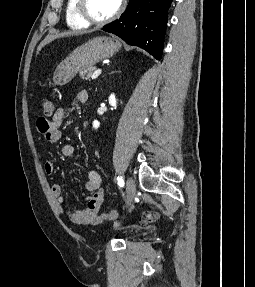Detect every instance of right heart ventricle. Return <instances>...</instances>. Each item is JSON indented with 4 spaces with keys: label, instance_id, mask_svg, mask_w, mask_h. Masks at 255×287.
I'll list each match as a JSON object with an SVG mask.
<instances>
[{
    "label": "right heart ventricle",
    "instance_id": "right-heart-ventricle-1",
    "mask_svg": "<svg viewBox=\"0 0 255 287\" xmlns=\"http://www.w3.org/2000/svg\"><path fill=\"white\" fill-rule=\"evenodd\" d=\"M85 39H88V38H85ZM82 48H94V47H82Z\"/></svg>",
    "mask_w": 255,
    "mask_h": 287
}]
</instances>
